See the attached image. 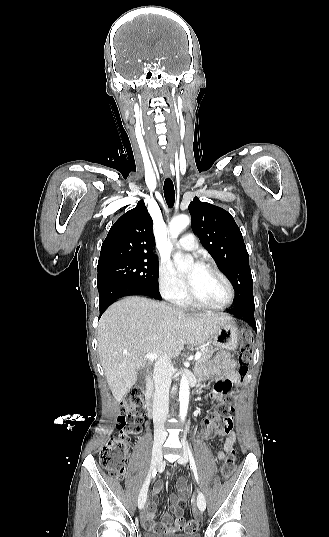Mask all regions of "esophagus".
<instances>
[{"label": "esophagus", "mask_w": 329, "mask_h": 537, "mask_svg": "<svg viewBox=\"0 0 329 537\" xmlns=\"http://www.w3.org/2000/svg\"><path fill=\"white\" fill-rule=\"evenodd\" d=\"M164 174H165L166 177H170V176H171V172H170V170H169L168 167H166V168L164 169Z\"/></svg>", "instance_id": "1"}]
</instances>
